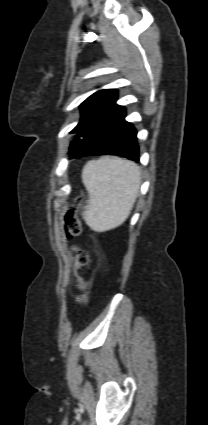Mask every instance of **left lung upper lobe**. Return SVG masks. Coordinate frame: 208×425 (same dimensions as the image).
<instances>
[{"label": "left lung upper lobe", "mask_w": 208, "mask_h": 425, "mask_svg": "<svg viewBox=\"0 0 208 425\" xmlns=\"http://www.w3.org/2000/svg\"><path fill=\"white\" fill-rule=\"evenodd\" d=\"M117 98V91L114 89H105L97 91L88 97L81 105V120L78 125L70 133H79L83 130L92 120H94L99 113L112 103ZM81 143L78 140L71 142L69 155L75 157L81 153Z\"/></svg>", "instance_id": "1"}]
</instances>
